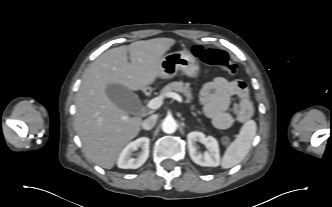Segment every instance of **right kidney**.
Wrapping results in <instances>:
<instances>
[{"label":"right kidney","mask_w":332,"mask_h":207,"mask_svg":"<svg viewBox=\"0 0 332 207\" xmlns=\"http://www.w3.org/2000/svg\"><path fill=\"white\" fill-rule=\"evenodd\" d=\"M149 144L150 139L147 137H141L130 142L119 155L118 167L122 169H137L141 167L149 156ZM138 148H141V152L136 158H133L132 153Z\"/></svg>","instance_id":"obj_1"}]
</instances>
